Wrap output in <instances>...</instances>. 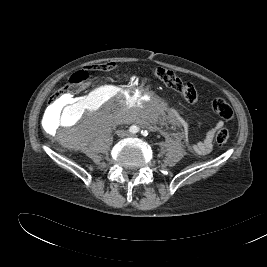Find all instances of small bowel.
<instances>
[{
  "label": "small bowel",
  "instance_id": "obj_1",
  "mask_svg": "<svg viewBox=\"0 0 267 267\" xmlns=\"http://www.w3.org/2000/svg\"><path fill=\"white\" fill-rule=\"evenodd\" d=\"M77 104L78 103H72L68 108L72 110L73 108L76 107ZM61 111H62L61 108H53L50 110V114L55 116L59 114ZM222 125L223 123L221 121L217 122L216 125L207 132L205 138L202 141L192 145L193 151L200 155L208 154L212 149V142L215 132Z\"/></svg>",
  "mask_w": 267,
  "mask_h": 267
}]
</instances>
